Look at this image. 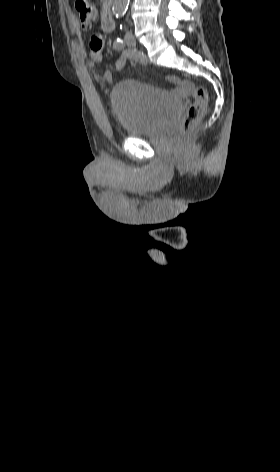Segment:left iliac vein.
Instances as JSON below:
<instances>
[{
	"label": "left iliac vein",
	"instance_id": "obj_1",
	"mask_svg": "<svg viewBox=\"0 0 280 472\" xmlns=\"http://www.w3.org/2000/svg\"><path fill=\"white\" fill-rule=\"evenodd\" d=\"M124 41L125 43L130 46V47H134L136 45V39L135 37L133 36V34L131 33H126L125 37H124Z\"/></svg>",
	"mask_w": 280,
	"mask_h": 472
}]
</instances>
